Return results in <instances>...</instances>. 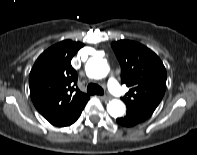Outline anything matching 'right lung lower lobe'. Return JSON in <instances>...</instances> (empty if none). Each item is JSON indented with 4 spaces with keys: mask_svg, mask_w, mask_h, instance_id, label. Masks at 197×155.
I'll return each mask as SVG.
<instances>
[{
    "mask_svg": "<svg viewBox=\"0 0 197 155\" xmlns=\"http://www.w3.org/2000/svg\"><path fill=\"white\" fill-rule=\"evenodd\" d=\"M79 116H80V115H79ZM79 116H78V117H79ZM78 117H77L72 123H74V122L78 119Z\"/></svg>",
    "mask_w": 197,
    "mask_h": 155,
    "instance_id": "right-lung-lower-lobe-1",
    "label": "right lung lower lobe"
}]
</instances>
